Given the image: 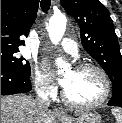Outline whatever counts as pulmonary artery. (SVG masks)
Returning a JSON list of instances; mask_svg holds the SVG:
<instances>
[{"label": "pulmonary artery", "mask_w": 122, "mask_h": 123, "mask_svg": "<svg viewBox=\"0 0 122 123\" xmlns=\"http://www.w3.org/2000/svg\"><path fill=\"white\" fill-rule=\"evenodd\" d=\"M61 47L68 54L77 57L78 56V46L76 42L70 38H64L61 43Z\"/></svg>", "instance_id": "obj_1"}]
</instances>
